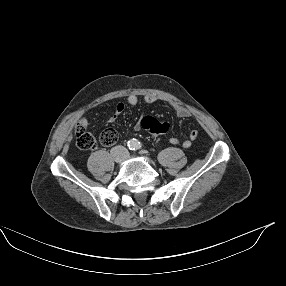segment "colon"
Here are the masks:
<instances>
[{"label":"colon","instance_id":"obj_1","mask_svg":"<svg viewBox=\"0 0 286 286\" xmlns=\"http://www.w3.org/2000/svg\"><path fill=\"white\" fill-rule=\"evenodd\" d=\"M169 127V123L162 117H148L144 120V129L155 138L169 136ZM74 138L77 146L82 150H92L97 145V138L92 133L86 131L81 124L75 127ZM117 140L118 133L112 128L104 130L99 136V142L103 146H111Z\"/></svg>","mask_w":286,"mask_h":286}]
</instances>
